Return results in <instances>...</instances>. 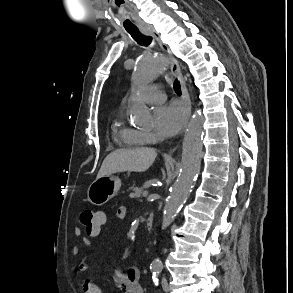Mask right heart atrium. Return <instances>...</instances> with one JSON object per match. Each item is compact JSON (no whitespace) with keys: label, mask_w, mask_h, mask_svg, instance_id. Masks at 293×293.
<instances>
[{"label":"right heart atrium","mask_w":293,"mask_h":293,"mask_svg":"<svg viewBox=\"0 0 293 293\" xmlns=\"http://www.w3.org/2000/svg\"><path fill=\"white\" fill-rule=\"evenodd\" d=\"M141 138L146 142V143H153L157 141V137L151 133V132H146V131H138Z\"/></svg>","instance_id":"1"}]
</instances>
